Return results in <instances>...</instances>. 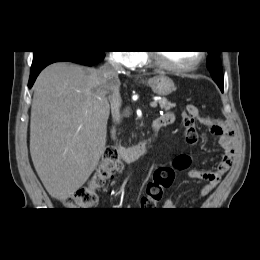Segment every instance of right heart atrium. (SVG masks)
<instances>
[{"label":"right heart atrium","instance_id":"right-heart-atrium-1","mask_svg":"<svg viewBox=\"0 0 260 260\" xmlns=\"http://www.w3.org/2000/svg\"><path fill=\"white\" fill-rule=\"evenodd\" d=\"M112 58L115 62L126 68H134L143 61V55L139 51L113 52Z\"/></svg>","mask_w":260,"mask_h":260}]
</instances>
